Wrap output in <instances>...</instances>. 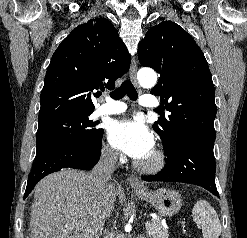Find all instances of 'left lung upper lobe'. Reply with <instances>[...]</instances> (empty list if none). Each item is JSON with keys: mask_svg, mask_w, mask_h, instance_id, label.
I'll use <instances>...</instances> for the list:
<instances>
[{"mask_svg": "<svg viewBox=\"0 0 247 238\" xmlns=\"http://www.w3.org/2000/svg\"><path fill=\"white\" fill-rule=\"evenodd\" d=\"M138 59L160 74L151 94L160 95L171 113L153 125L164 148L183 137L213 146L215 90L207 61L192 36L175 22L163 21L139 43Z\"/></svg>", "mask_w": 247, "mask_h": 238, "instance_id": "5c2ea615", "label": "left lung upper lobe"}]
</instances>
